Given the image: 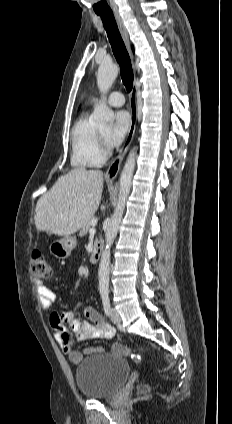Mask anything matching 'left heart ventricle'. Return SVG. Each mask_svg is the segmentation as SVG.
Masks as SVG:
<instances>
[{"mask_svg":"<svg viewBox=\"0 0 232 424\" xmlns=\"http://www.w3.org/2000/svg\"><path fill=\"white\" fill-rule=\"evenodd\" d=\"M100 132L103 134V136H104V137H106V138H107V137L109 136L110 129H109V128H107V129H102Z\"/></svg>","mask_w":232,"mask_h":424,"instance_id":"obj_1","label":"left heart ventricle"}]
</instances>
